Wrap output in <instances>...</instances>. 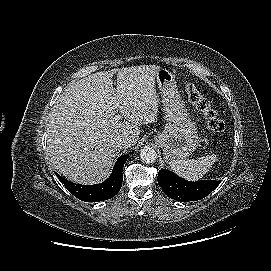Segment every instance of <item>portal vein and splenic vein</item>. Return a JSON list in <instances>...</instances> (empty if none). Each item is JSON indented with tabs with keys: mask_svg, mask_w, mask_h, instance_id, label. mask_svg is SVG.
<instances>
[{
	"mask_svg": "<svg viewBox=\"0 0 271 271\" xmlns=\"http://www.w3.org/2000/svg\"><path fill=\"white\" fill-rule=\"evenodd\" d=\"M121 119V114H117L114 116V120L117 122Z\"/></svg>",
	"mask_w": 271,
	"mask_h": 271,
	"instance_id": "1",
	"label": "portal vein and splenic vein"
}]
</instances>
